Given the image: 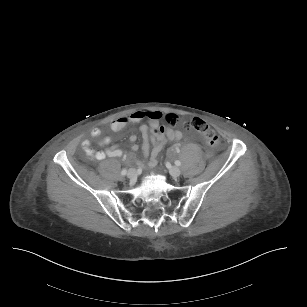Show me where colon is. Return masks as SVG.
I'll use <instances>...</instances> for the list:
<instances>
[{
  "instance_id": "1",
  "label": "colon",
  "mask_w": 307,
  "mask_h": 307,
  "mask_svg": "<svg viewBox=\"0 0 307 307\" xmlns=\"http://www.w3.org/2000/svg\"><path fill=\"white\" fill-rule=\"evenodd\" d=\"M165 121L170 125L177 124V119L175 118L174 115H166ZM184 128L188 130L189 129L194 130L195 132L201 134L204 137L205 142L211 147H215L219 144L218 134L211 127H209L208 124L201 118L196 117L189 120L184 125ZM168 129H169L168 126L163 124L154 127L152 131L154 134L158 135L167 132Z\"/></svg>"
}]
</instances>
